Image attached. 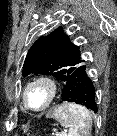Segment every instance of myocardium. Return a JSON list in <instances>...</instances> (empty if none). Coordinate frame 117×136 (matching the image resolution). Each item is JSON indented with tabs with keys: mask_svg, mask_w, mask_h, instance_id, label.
I'll list each match as a JSON object with an SVG mask.
<instances>
[{
	"mask_svg": "<svg viewBox=\"0 0 117 136\" xmlns=\"http://www.w3.org/2000/svg\"><path fill=\"white\" fill-rule=\"evenodd\" d=\"M37 85H41L45 87V89L47 90V99H46L45 104L42 107L32 108L28 103L27 95H28L29 90L32 87L37 86ZM57 92H58V85L55 79L47 75L37 76L33 78L32 80H30L23 90V94H22L23 106L31 112H42L51 105V103L54 101L57 95Z\"/></svg>",
	"mask_w": 117,
	"mask_h": 136,
	"instance_id": "1",
	"label": "myocardium"
}]
</instances>
